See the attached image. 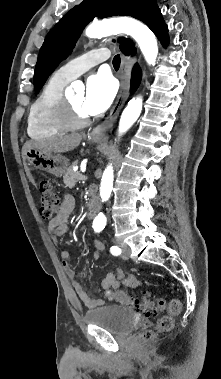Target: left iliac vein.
Segmentation results:
<instances>
[{"instance_id": "left-iliac-vein-1", "label": "left iliac vein", "mask_w": 221, "mask_h": 379, "mask_svg": "<svg viewBox=\"0 0 221 379\" xmlns=\"http://www.w3.org/2000/svg\"><path fill=\"white\" fill-rule=\"evenodd\" d=\"M121 248H122V258L124 260H128L130 256V248L128 247V245L124 243L121 244Z\"/></svg>"}]
</instances>
